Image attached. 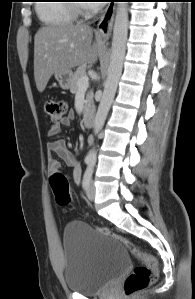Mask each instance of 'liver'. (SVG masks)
<instances>
[{
    "label": "liver",
    "instance_id": "1",
    "mask_svg": "<svg viewBox=\"0 0 195 299\" xmlns=\"http://www.w3.org/2000/svg\"><path fill=\"white\" fill-rule=\"evenodd\" d=\"M88 25L66 23L44 26L34 37V78L43 92L51 76L84 64H94L103 50L101 36Z\"/></svg>",
    "mask_w": 195,
    "mask_h": 299
}]
</instances>
